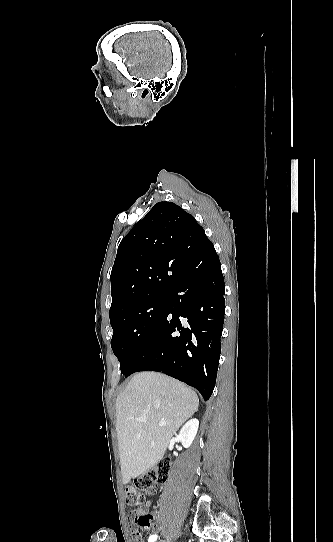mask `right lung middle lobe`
<instances>
[{
  "label": "right lung middle lobe",
  "mask_w": 333,
  "mask_h": 542,
  "mask_svg": "<svg viewBox=\"0 0 333 542\" xmlns=\"http://www.w3.org/2000/svg\"><path fill=\"white\" fill-rule=\"evenodd\" d=\"M168 308V295L131 306L110 318L111 347L126 374Z\"/></svg>",
  "instance_id": "dd1d6c3e"
}]
</instances>
